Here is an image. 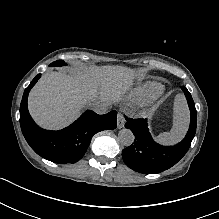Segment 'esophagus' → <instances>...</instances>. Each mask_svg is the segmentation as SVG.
I'll return each mask as SVG.
<instances>
[{"label": "esophagus", "mask_w": 219, "mask_h": 219, "mask_svg": "<svg viewBox=\"0 0 219 219\" xmlns=\"http://www.w3.org/2000/svg\"><path fill=\"white\" fill-rule=\"evenodd\" d=\"M125 119L122 113L117 114V128L121 129L124 127Z\"/></svg>", "instance_id": "34e87169"}]
</instances>
